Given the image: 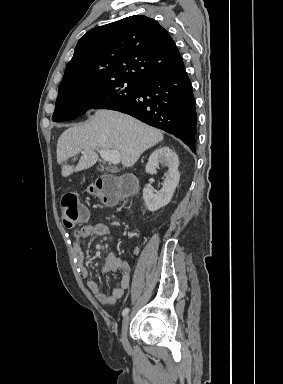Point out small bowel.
<instances>
[{"mask_svg":"<svg viewBox=\"0 0 283 384\" xmlns=\"http://www.w3.org/2000/svg\"><path fill=\"white\" fill-rule=\"evenodd\" d=\"M108 233V226L100 222L86 224L75 231L73 237V255L77 267L83 277L88 278L89 272L85 264L81 243L92 235L105 236ZM101 269L103 273H119L121 275L119 286L114 288L110 294H105L100 290L96 281L89 279L87 281V287L98 302L103 305H113L124 296L129 288L131 282V268L126 261L122 260L117 255L110 253L104 259Z\"/></svg>","mask_w":283,"mask_h":384,"instance_id":"1","label":"small bowel"}]
</instances>
